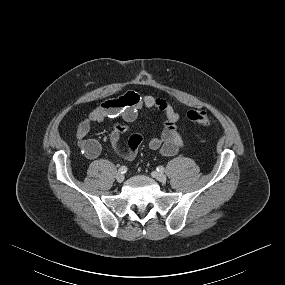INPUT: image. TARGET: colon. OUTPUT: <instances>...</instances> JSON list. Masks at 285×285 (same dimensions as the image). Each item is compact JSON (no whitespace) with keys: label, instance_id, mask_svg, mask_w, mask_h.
Masks as SVG:
<instances>
[{"label":"colon","instance_id":"5ec220e1","mask_svg":"<svg viewBox=\"0 0 285 285\" xmlns=\"http://www.w3.org/2000/svg\"><path fill=\"white\" fill-rule=\"evenodd\" d=\"M187 117L198 126H208L210 124V118L205 111L191 110L187 113Z\"/></svg>","mask_w":285,"mask_h":285}]
</instances>
